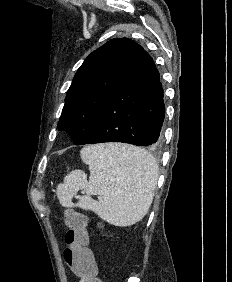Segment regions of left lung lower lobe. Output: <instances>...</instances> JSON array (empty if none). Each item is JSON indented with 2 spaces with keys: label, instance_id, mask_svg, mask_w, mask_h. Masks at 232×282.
<instances>
[{
  "label": "left lung lower lobe",
  "instance_id": "1",
  "mask_svg": "<svg viewBox=\"0 0 232 282\" xmlns=\"http://www.w3.org/2000/svg\"><path fill=\"white\" fill-rule=\"evenodd\" d=\"M164 116L159 72L144 51L121 88L102 106L88 139L75 145L123 142L157 148Z\"/></svg>",
  "mask_w": 232,
  "mask_h": 282
}]
</instances>
